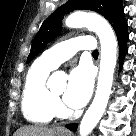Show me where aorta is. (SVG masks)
I'll use <instances>...</instances> for the list:
<instances>
[{
    "mask_svg": "<svg viewBox=\"0 0 136 136\" xmlns=\"http://www.w3.org/2000/svg\"><path fill=\"white\" fill-rule=\"evenodd\" d=\"M65 23L70 28L87 27L94 31L101 44V61L96 94L79 126L80 136H88L107 107L117 61V40L111 25L95 13L74 12L67 17ZM49 81L52 84L59 82L61 87L66 85V77L60 72L53 73Z\"/></svg>",
    "mask_w": 136,
    "mask_h": 136,
    "instance_id": "1",
    "label": "aorta"
}]
</instances>
